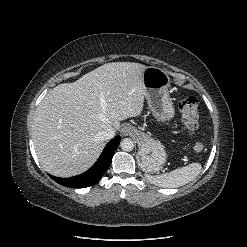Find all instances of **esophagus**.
Segmentation results:
<instances>
[{
    "instance_id": "esophagus-1",
    "label": "esophagus",
    "mask_w": 247,
    "mask_h": 247,
    "mask_svg": "<svg viewBox=\"0 0 247 247\" xmlns=\"http://www.w3.org/2000/svg\"><path fill=\"white\" fill-rule=\"evenodd\" d=\"M133 132V129L130 125H123L122 128H121V134L123 136H128V135H131Z\"/></svg>"
}]
</instances>
